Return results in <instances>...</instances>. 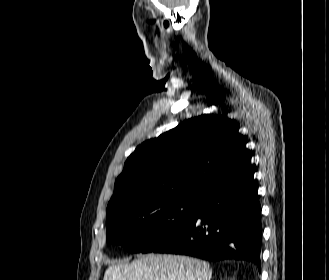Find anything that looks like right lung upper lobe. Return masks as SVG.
<instances>
[{"label":"right lung upper lobe","mask_w":329,"mask_h":280,"mask_svg":"<svg viewBox=\"0 0 329 280\" xmlns=\"http://www.w3.org/2000/svg\"><path fill=\"white\" fill-rule=\"evenodd\" d=\"M238 129L231 119L204 114L145 141L126 160L107 208L148 196L200 198L251 160Z\"/></svg>","instance_id":"cb5924a9"}]
</instances>
